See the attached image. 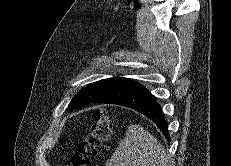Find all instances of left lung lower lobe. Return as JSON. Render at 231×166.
Here are the masks:
<instances>
[{"label": "left lung lower lobe", "mask_w": 231, "mask_h": 166, "mask_svg": "<svg viewBox=\"0 0 231 166\" xmlns=\"http://www.w3.org/2000/svg\"><path fill=\"white\" fill-rule=\"evenodd\" d=\"M92 103L117 104L132 108L152 120L170 141L167 122L160 105L151 92L135 80L129 79Z\"/></svg>", "instance_id": "left-lung-lower-lobe-1"}]
</instances>
